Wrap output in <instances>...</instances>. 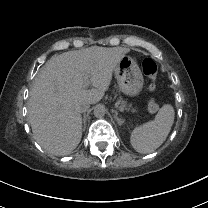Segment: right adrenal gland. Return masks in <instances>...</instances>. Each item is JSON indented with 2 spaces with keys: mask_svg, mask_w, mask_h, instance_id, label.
<instances>
[{
  "mask_svg": "<svg viewBox=\"0 0 208 208\" xmlns=\"http://www.w3.org/2000/svg\"><path fill=\"white\" fill-rule=\"evenodd\" d=\"M84 118H86L85 114L83 115ZM84 127H86V120H84Z\"/></svg>",
  "mask_w": 208,
  "mask_h": 208,
  "instance_id": "2a0ac1e0",
  "label": "right adrenal gland"
}]
</instances>
